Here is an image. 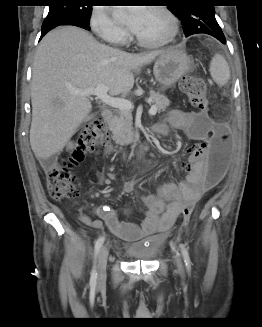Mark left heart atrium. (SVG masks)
I'll use <instances>...</instances> for the list:
<instances>
[{
  "label": "left heart atrium",
  "mask_w": 262,
  "mask_h": 327,
  "mask_svg": "<svg viewBox=\"0 0 262 327\" xmlns=\"http://www.w3.org/2000/svg\"><path fill=\"white\" fill-rule=\"evenodd\" d=\"M148 8L145 7H130L123 9L121 14H123L128 22V25L132 30H136L142 21L143 17L147 13Z\"/></svg>",
  "instance_id": "left-heart-atrium-1"
}]
</instances>
